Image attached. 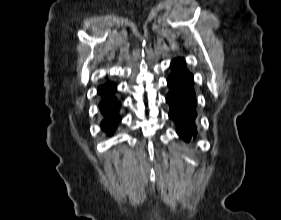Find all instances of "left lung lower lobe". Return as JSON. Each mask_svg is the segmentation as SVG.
<instances>
[{
    "mask_svg": "<svg viewBox=\"0 0 281 220\" xmlns=\"http://www.w3.org/2000/svg\"><path fill=\"white\" fill-rule=\"evenodd\" d=\"M172 73L168 77L169 93L166 101L170 105L169 117L174 120L178 135L189 142L197 134L196 95L193 88V75L185 68V60L171 62Z\"/></svg>",
    "mask_w": 281,
    "mask_h": 220,
    "instance_id": "0a47b994",
    "label": "left lung lower lobe"
}]
</instances>
